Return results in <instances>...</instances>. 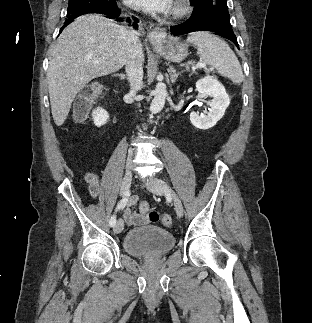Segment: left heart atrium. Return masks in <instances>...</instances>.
<instances>
[{
  "label": "left heart atrium",
  "mask_w": 312,
  "mask_h": 323,
  "mask_svg": "<svg viewBox=\"0 0 312 323\" xmlns=\"http://www.w3.org/2000/svg\"><path fill=\"white\" fill-rule=\"evenodd\" d=\"M136 12H169L174 7L172 0H125Z\"/></svg>",
  "instance_id": "obj_1"
}]
</instances>
